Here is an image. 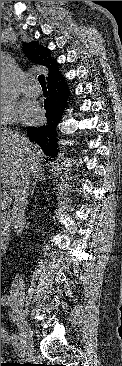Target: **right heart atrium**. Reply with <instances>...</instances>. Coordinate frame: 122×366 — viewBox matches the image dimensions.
I'll list each match as a JSON object with an SVG mask.
<instances>
[{"label":"right heart atrium","mask_w":122,"mask_h":366,"mask_svg":"<svg viewBox=\"0 0 122 366\" xmlns=\"http://www.w3.org/2000/svg\"><path fill=\"white\" fill-rule=\"evenodd\" d=\"M14 122L13 103L5 98H1V127L13 125Z\"/></svg>","instance_id":"1"}]
</instances>
